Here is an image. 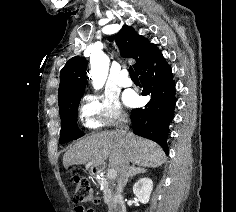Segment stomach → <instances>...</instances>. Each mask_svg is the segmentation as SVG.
Listing matches in <instances>:
<instances>
[{"label":"stomach","instance_id":"0dacf381","mask_svg":"<svg viewBox=\"0 0 236 212\" xmlns=\"http://www.w3.org/2000/svg\"><path fill=\"white\" fill-rule=\"evenodd\" d=\"M86 169L89 171L91 175H94L96 173V168L93 166H86Z\"/></svg>","mask_w":236,"mask_h":212}]
</instances>
